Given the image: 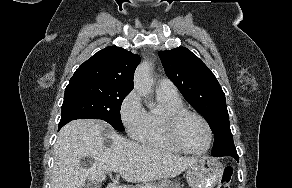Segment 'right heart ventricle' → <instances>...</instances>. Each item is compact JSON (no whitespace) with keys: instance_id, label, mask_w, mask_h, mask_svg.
<instances>
[{"instance_id":"1","label":"right heart ventricle","mask_w":292,"mask_h":188,"mask_svg":"<svg viewBox=\"0 0 292 188\" xmlns=\"http://www.w3.org/2000/svg\"><path fill=\"white\" fill-rule=\"evenodd\" d=\"M157 99L160 103V109L146 112L145 124L137 139L148 146L178 152L180 150L166 134L163 118L167 112L185 108L184 104L179 95L171 96L157 92Z\"/></svg>"}]
</instances>
